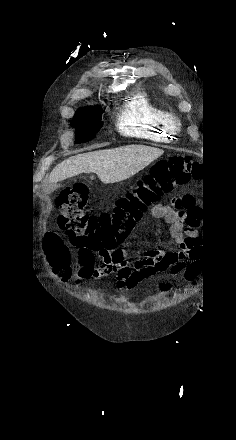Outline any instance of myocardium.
Here are the masks:
<instances>
[{"label": "myocardium", "mask_w": 236, "mask_h": 440, "mask_svg": "<svg viewBox=\"0 0 236 440\" xmlns=\"http://www.w3.org/2000/svg\"><path fill=\"white\" fill-rule=\"evenodd\" d=\"M171 121H172V123L174 124V126L179 125V119H178L177 117L172 116V117H171Z\"/></svg>", "instance_id": "obj_1"}]
</instances>
